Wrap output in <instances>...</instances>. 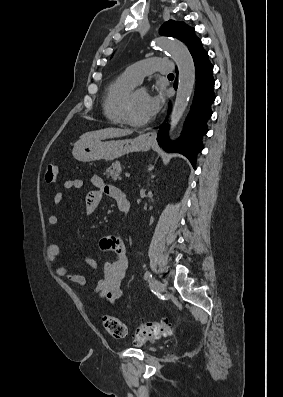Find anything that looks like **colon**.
Returning a JSON list of instances; mask_svg holds the SVG:
<instances>
[{
	"label": "colon",
	"mask_w": 283,
	"mask_h": 397,
	"mask_svg": "<svg viewBox=\"0 0 283 397\" xmlns=\"http://www.w3.org/2000/svg\"><path fill=\"white\" fill-rule=\"evenodd\" d=\"M59 173L58 165L51 163L47 166L44 179L46 183H54ZM103 325L106 331L115 339L123 340L128 337V331L124 323L114 316L106 315L103 317ZM171 333L168 320L141 323L135 331V339L143 342L149 339H159Z\"/></svg>",
	"instance_id": "1"
}]
</instances>
